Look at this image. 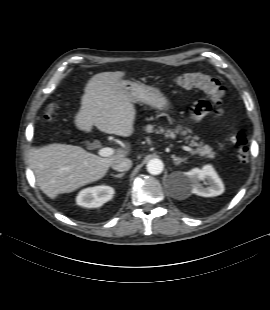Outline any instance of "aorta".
Segmentation results:
<instances>
[{"label":"aorta","instance_id":"obj_1","mask_svg":"<svg viewBox=\"0 0 270 310\" xmlns=\"http://www.w3.org/2000/svg\"><path fill=\"white\" fill-rule=\"evenodd\" d=\"M147 171L152 175H159L163 171V162L159 159H151L147 163Z\"/></svg>","mask_w":270,"mask_h":310}]
</instances>
